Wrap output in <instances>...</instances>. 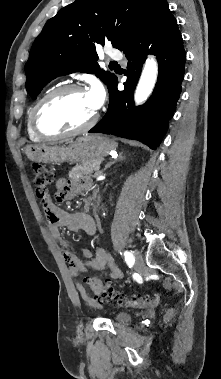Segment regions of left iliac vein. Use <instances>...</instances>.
Segmentation results:
<instances>
[{"instance_id": "4c4485c4", "label": "left iliac vein", "mask_w": 221, "mask_h": 379, "mask_svg": "<svg viewBox=\"0 0 221 379\" xmlns=\"http://www.w3.org/2000/svg\"><path fill=\"white\" fill-rule=\"evenodd\" d=\"M133 253L135 258V268L140 274H142L145 268L143 257L138 250H134Z\"/></svg>"}]
</instances>
